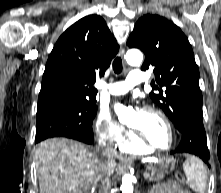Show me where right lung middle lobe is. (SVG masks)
Listing matches in <instances>:
<instances>
[{
  "label": "right lung middle lobe",
  "mask_w": 221,
  "mask_h": 193,
  "mask_svg": "<svg viewBox=\"0 0 221 193\" xmlns=\"http://www.w3.org/2000/svg\"><path fill=\"white\" fill-rule=\"evenodd\" d=\"M95 104L57 103L38 107L36 142L50 137H68L80 141L93 138Z\"/></svg>",
  "instance_id": "right-lung-middle-lobe-1"
}]
</instances>
